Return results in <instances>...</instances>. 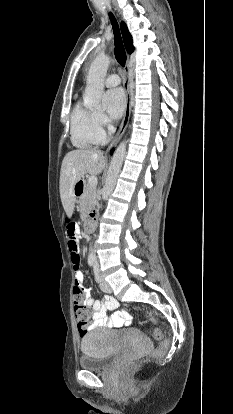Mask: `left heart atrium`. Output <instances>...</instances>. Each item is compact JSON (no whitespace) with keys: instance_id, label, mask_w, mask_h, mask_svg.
I'll use <instances>...</instances> for the list:
<instances>
[{"instance_id":"39dd6f15","label":"left heart atrium","mask_w":233,"mask_h":414,"mask_svg":"<svg viewBox=\"0 0 233 414\" xmlns=\"http://www.w3.org/2000/svg\"><path fill=\"white\" fill-rule=\"evenodd\" d=\"M125 94L121 88H113L104 94V104L108 115L118 119L125 109Z\"/></svg>"}]
</instances>
